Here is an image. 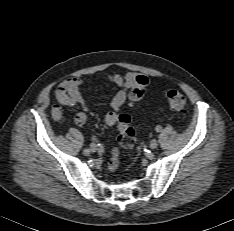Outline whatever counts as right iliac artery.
<instances>
[{
    "label": "right iliac artery",
    "instance_id": "1",
    "mask_svg": "<svg viewBox=\"0 0 234 231\" xmlns=\"http://www.w3.org/2000/svg\"><path fill=\"white\" fill-rule=\"evenodd\" d=\"M100 146V144H96V143H91L90 144V149L92 150V151H95V150H97V148Z\"/></svg>",
    "mask_w": 234,
    "mask_h": 231
}]
</instances>
